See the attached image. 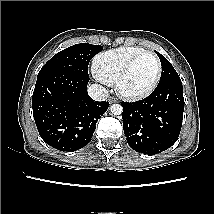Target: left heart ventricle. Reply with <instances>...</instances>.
Wrapping results in <instances>:
<instances>
[{
    "instance_id": "1",
    "label": "left heart ventricle",
    "mask_w": 214,
    "mask_h": 214,
    "mask_svg": "<svg viewBox=\"0 0 214 214\" xmlns=\"http://www.w3.org/2000/svg\"><path fill=\"white\" fill-rule=\"evenodd\" d=\"M157 73V64L151 55L140 58L133 66L124 82L123 88L128 92H141L153 83Z\"/></svg>"
}]
</instances>
